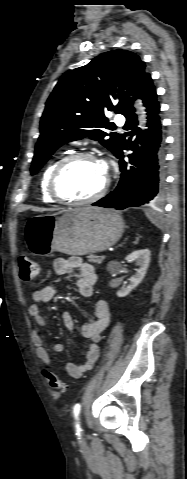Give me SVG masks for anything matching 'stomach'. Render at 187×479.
Here are the masks:
<instances>
[{"label":"stomach","mask_w":187,"mask_h":479,"mask_svg":"<svg viewBox=\"0 0 187 479\" xmlns=\"http://www.w3.org/2000/svg\"><path fill=\"white\" fill-rule=\"evenodd\" d=\"M124 222L111 209L80 207L31 216L25 223L29 250L37 256L54 251L68 255L102 252L122 236Z\"/></svg>","instance_id":"1"}]
</instances>
